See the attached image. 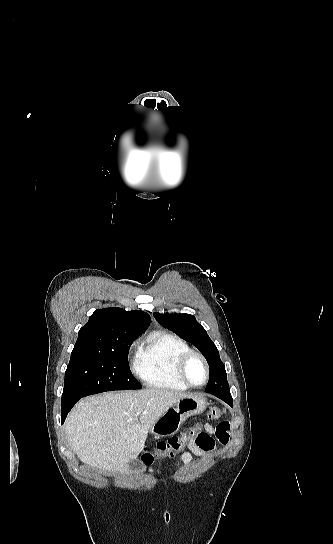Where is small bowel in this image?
Masks as SVG:
<instances>
[{
	"label": "small bowel",
	"instance_id": "small-bowel-1",
	"mask_svg": "<svg viewBox=\"0 0 333 544\" xmlns=\"http://www.w3.org/2000/svg\"><path fill=\"white\" fill-rule=\"evenodd\" d=\"M230 440V423L220 421L215 426L207 424L205 432L198 438L188 442L189 452L180 455V462L188 464L192 460V454L203 455L214 450L216 442L226 444Z\"/></svg>",
	"mask_w": 333,
	"mask_h": 544
}]
</instances>
